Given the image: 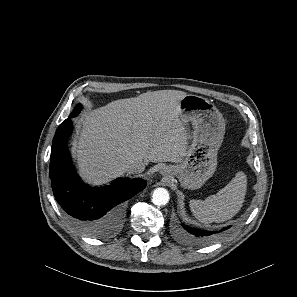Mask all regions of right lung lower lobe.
Segmentation results:
<instances>
[{
  "mask_svg": "<svg viewBox=\"0 0 297 297\" xmlns=\"http://www.w3.org/2000/svg\"><path fill=\"white\" fill-rule=\"evenodd\" d=\"M71 114L57 128L50 156L53 194L74 225L91 237H104L120 223V203L146 187L143 179H118L111 186L90 188L75 172L67 141L72 132Z\"/></svg>",
  "mask_w": 297,
  "mask_h": 297,
  "instance_id": "right-lung-lower-lobe-1",
  "label": "right lung lower lobe"
}]
</instances>
